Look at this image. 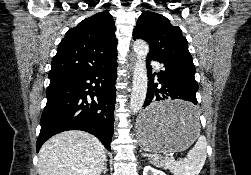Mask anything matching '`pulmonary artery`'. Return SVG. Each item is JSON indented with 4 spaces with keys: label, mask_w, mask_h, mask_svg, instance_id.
<instances>
[{
    "label": "pulmonary artery",
    "mask_w": 251,
    "mask_h": 175,
    "mask_svg": "<svg viewBox=\"0 0 251 175\" xmlns=\"http://www.w3.org/2000/svg\"><path fill=\"white\" fill-rule=\"evenodd\" d=\"M149 67L156 69L158 67V62H149ZM159 70H165V65H159Z\"/></svg>",
    "instance_id": "1"
}]
</instances>
